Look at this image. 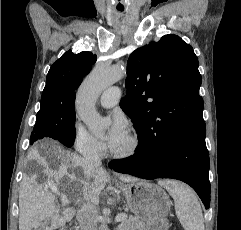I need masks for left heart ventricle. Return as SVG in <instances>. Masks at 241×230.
<instances>
[{
    "instance_id": "1",
    "label": "left heart ventricle",
    "mask_w": 241,
    "mask_h": 230,
    "mask_svg": "<svg viewBox=\"0 0 241 230\" xmlns=\"http://www.w3.org/2000/svg\"><path fill=\"white\" fill-rule=\"evenodd\" d=\"M129 139L128 135L123 139V141L114 149L115 151H122L128 147Z\"/></svg>"
}]
</instances>
